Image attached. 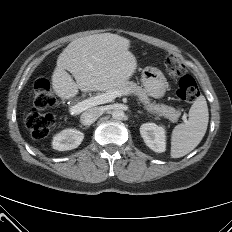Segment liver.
Wrapping results in <instances>:
<instances>
[{
    "label": "liver",
    "instance_id": "liver-1",
    "mask_svg": "<svg viewBox=\"0 0 232 232\" xmlns=\"http://www.w3.org/2000/svg\"><path fill=\"white\" fill-rule=\"evenodd\" d=\"M129 47L127 38L112 33L72 41L58 56L52 75L54 92L61 99H70L79 90L107 91L121 85L137 67L136 58Z\"/></svg>",
    "mask_w": 232,
    "mask_h": 232
}]
</instances>
